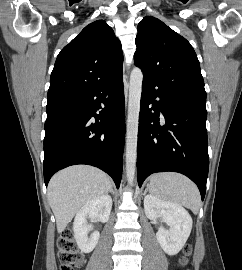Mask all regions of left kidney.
<instances>
[{"label": "left kidney", "mask_w": 242, "mask_h": 270, "mask_svg": "<svg viewBox=\"0 0 242 270\" xmlns=\"http://www.w3.org/2000/svg\"><path fill=\"white\" fill-rule=\"evenodd\" d=\"M144 209L149 219L160 218L170 226L169 230L160 227L156 238L166 254L176 255L183 248L192 229V218L188 211L181 205L161 200L154 195L145 196Z\"/></svg>", "instance_id": "5707ae66"}]
</instances>
